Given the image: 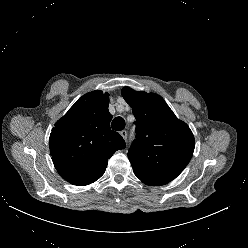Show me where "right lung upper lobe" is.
<instances>
[{"label":"right lung upper lobe","mask_w":248,"mask_h":248,"mask_svg":"<svg viewBox=\"0 0 248 248\" xmlns=\"http://www.w3.org/2000/svg\"><path fill=\"white\" fill-rule=\"evenodd\" d=\"M109 95L92 91L81 97L56 122L49 139L54 166L73 185L95 182L108 159L125 148V141L110 129Z\"/></svg>","instance_id":"obj_1"}]
</instances>
